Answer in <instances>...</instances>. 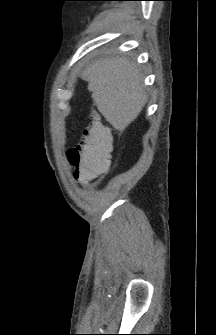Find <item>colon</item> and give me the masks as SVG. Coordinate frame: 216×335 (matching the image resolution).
Listing matches in <instances>:
<instances>
[{
	"mask_svg": "<svg viewBox=\"0 0 216 335\" xmlns=\"http://www.w3.org/2000/svg\"><path fill=\"white\" fill-rule=\"evenodd\" d=\"M109 139V129L97 119L85 128L80 143L67 152L77 178H100V172H111L113 158Z\"/></svg>",
	"mask_w": 216,
	"mask_h": 335,
	"instance_id": "5ec220e1",
	"label": "colon"
}]
</instances>
